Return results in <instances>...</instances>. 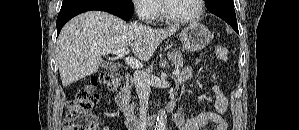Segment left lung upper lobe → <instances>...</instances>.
Instances as JSON below:
<instances>
[{
    "mask_svg": "<svg viewBox=\"0 0 299 130\" xmlns=\"http://www.w3.org/2000/svg\"><path fill=\"white\" fill-rule=\"evenodd\" d=\"M209 0H205V2L207 3Z\"/></svg>",
    "mask_w": 299,
    "mask_h": 130,
    "instance_id": "1",
    "label": "left lung upper lobe"
}]
</instances>
